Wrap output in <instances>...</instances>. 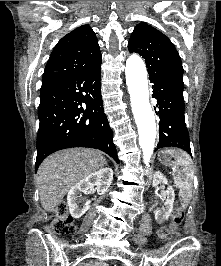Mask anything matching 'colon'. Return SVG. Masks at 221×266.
Instances as JSON below:
<instances>
[{"label": "colon", "mask_w": 221, "mask_h": 266, "mask_svg": "<svg viewBox=\"0 0 221 266\" xmlns=\"http://www.w3.org/2000/svg\"><path fill=\"white\" fill-rule=\"evenodd\" d=\"M184 218V211L182 208L177 207L174 209L171 221L168 227H162L158 231L160 238H165L169 233L175 232L181 225ZM52 229L55 234L67 236L75 232V224L72 217L69 215L67 205L65 202L59 203L56 208V215L52 223Z\"/></svg>", "instance_id": "1"}]
</instances>
